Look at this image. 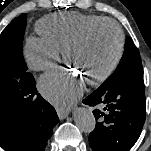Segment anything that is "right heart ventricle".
I'll return each mask as SVG.
<instances>
[{"label":"right heart ventricle","mask_w":151,"mask_h":151,"mask_svg":"<svg viewBox=\"0 0 151 151\" xmlns=\"http://www.w3.org/2000/svg\"><path fill=\"white\" fill-rule=\"evenodd\" d=\"M103 19H106V17L77 12L51 14L40 19L36 29L41 38L62 51L66 43L83 29Z\"/></svg>","instance_id":"1"}]
</instances>
